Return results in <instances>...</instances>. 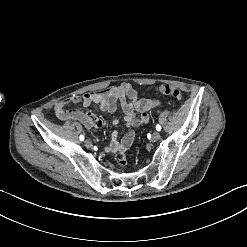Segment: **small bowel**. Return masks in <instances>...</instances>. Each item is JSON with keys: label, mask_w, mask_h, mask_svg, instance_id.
Masks as SVG:
<instances>
[{"label": "small bowel", "mask_w": 247, "mask_h": 247, "mask_svg": "<svg viewBox=\"0 0 247 247\" xmlns=\"http://www.w3.org/2000/svg\"><path fill=\"white\" fill-rule=\"evenodd\" d=\"M73 103H82L85 107L96 106L107 113H114L120 105L123 112V122L130 129L122 140H119L118 131H113L111 140L105 147L106 151L117 153L115 161L120 166L129 162L124 159V150L131 147L135 140V130L150 122L148 111L161 105L158 100L140 98L136 89L130 83H121L97 92L85 93L59 101L55 105V113L60 120H78L87 128L101 126V121L93 114L78 109H66ZM140 113V116H137ZM120 120L114 119L112 124L119 125Z\"/></svg>", "instance_id": "c3829d8e"}]
</instances>
